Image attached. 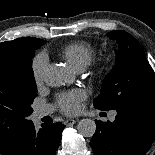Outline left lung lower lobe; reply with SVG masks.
<instances>
[{
  "mask_svg": "<svg viewBox=\"0 0 155 155\" xmlns=\"http://www.w3.org/2000/svg\"><path fill=\"white\" fill-rule=\"evenodd\" d=\"M114 122L96 121L90 145L95 155H145L155 138V99L116 109Z\"/></svg>",
  "mask_w": 155,
  "mask_h": 155,
  "instance_id": "0a47b994",
  "label": "left lung lower lobe"
}]
</instances>
